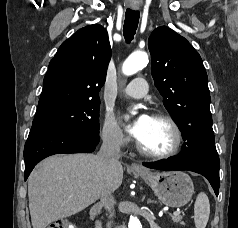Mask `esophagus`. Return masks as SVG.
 <instances>
[{"instance_id": "esophagus-1", "label": "esophagus", "mask_w": 238, "mask_h": 228, "mask_svg": "<svg viewBox=\"0 0 238 228\" xmlns=\"http://www.w3.org/2000/svg\"><path fill=\"white\" fill-rule=\"evenodd\" d=\"M131 168L136 169V170H141L142 169L141 166L137 163H132Z\"/></svg>"}]
</instances>
